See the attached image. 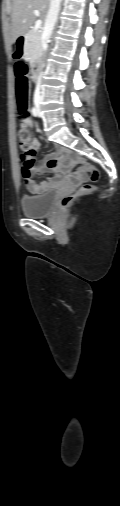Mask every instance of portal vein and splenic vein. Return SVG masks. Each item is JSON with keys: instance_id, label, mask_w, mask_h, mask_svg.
<instances>
[{"instance_id": "portal-vein-and-splenic-vein-1", "label": "portal vein and splenic vein", "mask_w": 120, "mask_h": 506, "mask_svg": "<svg viewBox=\"0 0 120 506\" xmlns=\"http://www.w3.org/2000/svg\"><path fill=\"white\" fill-rule=\"evenodd\" d=\"M34 14L36 16H39V14H40L39 10H34ZM41 26H42V21L41 20L36 21L33 31H35V32L38 31L41 28Z\"/></svg>"}]
</instances>
